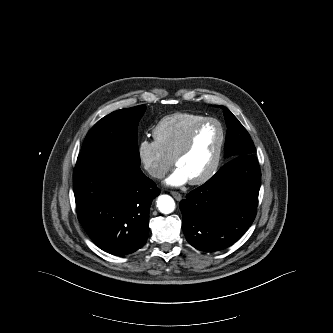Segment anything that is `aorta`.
I'll return each mask as SVG.
<instances>
[{
  "label": "aorta",
  "mask_w": 333,
  "mask_h": 333,
  "mask_svg": "<svg viewBox=\"0 0 333 333\" xmlns=\"http://www.w3.org/2000/svg\"><path fill=\"white\" fill-rule=\"evenodd\" d=\"M157 206L161 213L170 214L175 209V202L169 195H161L158 197Z\"/></svg>",
  "instance_id": "obj_1"
}]
</instances>
